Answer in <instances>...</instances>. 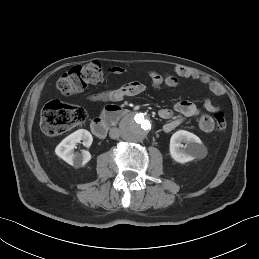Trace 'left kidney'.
<instances>
[{"label": "left kidney", "mask_w": 259, "mask_h": 259, "mask_svg": "<svg viewBox=\"0 0 259 259\" xmlns=\"http://www.w3.org/2000/svg\"><path fill=\"white\" fill-rule=\"evenodd\" d=\"M201 147L200 138L185 130L175 132L170 139V155L178 163H186L196 159Z\"/></svg>", "instance_id": "1"}]
</instances>
